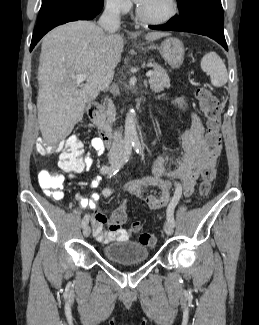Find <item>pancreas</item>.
<instances>
[{
  "mask_svg": "<svg viewBox=\"0 0 259 325\" xmlns=\"http://www.w3.org/2000/svg\"><path fill=\"white\" fill-rule=\"evenodd\" d=\"M154 73L149 79L150 88L153 92L158 93L164 90V88L170 87V79L165 69L160 65H153ZM116 120V109L112 101H109L107 105L102 107V113L99 117L98 126L109 131L111 125Z\"/></svg>",
  "mask_w": 259,
  "mask_h": 325,
  "instance_id": "obj_1",
  "label": "pancreas"
}]
</instances>
